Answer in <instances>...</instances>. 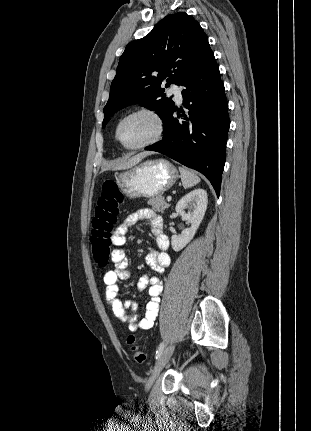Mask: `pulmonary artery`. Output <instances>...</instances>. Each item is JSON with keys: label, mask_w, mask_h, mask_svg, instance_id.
Masks as SVG:
<instances>
[{"label": "pulmonary artery", "mask_w": 311, "mask_h": 431, "mask_svg": "<svg viewBox=\"0 0 311 431\" xmlns=\"http://www.w3.org/2000/svg\"><path fill=\"white\" fill-rule=\"evenodd\" d=\"M169 92L175 96L176 101L178 103L182 102V88H181V86L173 83L169 87Z\"/></svg>", "instance_id": "1"}]
</instances>
